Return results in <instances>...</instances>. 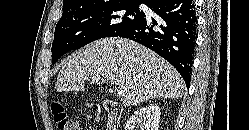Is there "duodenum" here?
<instances>
[{"mask_svg": "<svg viewBox=\"0 0 249 130\" xmlns=\"http://www.w3.org/2000/svg\"><path fill=\"white\" fill-rule=\"evenodd\" d=\"M104 109L107 112V123L105 130H119V124L122 117V109L113 101L103 102Z\"/></svg>", "mask_w": 249, "mask_h": 130, "instance_id": "1", "label": "duodenum"}]
</instances>
